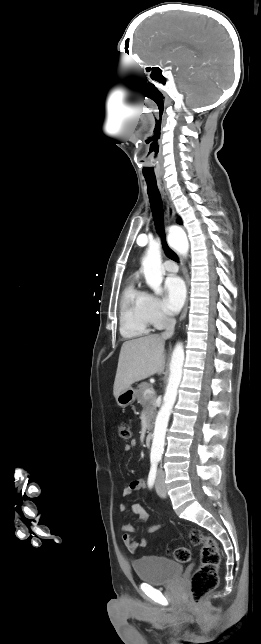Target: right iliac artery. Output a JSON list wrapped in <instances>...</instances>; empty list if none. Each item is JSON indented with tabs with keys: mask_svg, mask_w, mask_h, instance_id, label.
I'll return each mask as SVG.
<instances>
[{
	"mask_svg": "<svg viewBox=\"0 0 261 644\" xmlns=\"http://www.w3.org/2000/svg\"><path fill=\"white\" fill-rule=\"evenodd\" d=\"M157 463H158V460H155V459L151 460V468L148 476V486L150 488L153 487L155 482L156 473H157Z\"/></svg>",
	"mask_w": 261,
	"mask_h": 644,
	"instance_id": "right-iliac-artery-1",
	"label": "right iliac artery"
}]
</instances>
